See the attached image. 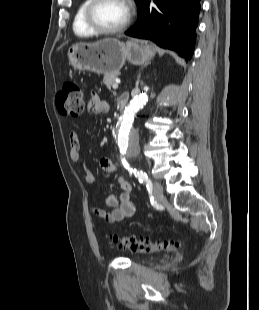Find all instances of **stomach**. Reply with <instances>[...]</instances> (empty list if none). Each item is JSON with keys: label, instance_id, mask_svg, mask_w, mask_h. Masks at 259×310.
<instances>
[{"label": "stomach", "instance_id": "1", "mask_svg": "<svg viewBox=\"0 0 259 310\" xmlns=\"http://www.w3.org/2000/svg\"><path fill=\"white\" fill-rule=\"evenodd\" d=\"M153 46L135 41L122 43L106 38L95 43H76L68 50L69 63L80 71L98 74L119 73L128 60L133 65H145L155 56Z\"/></svg>", "mask_w": 259, "mask_h": 310}]
</instances>
